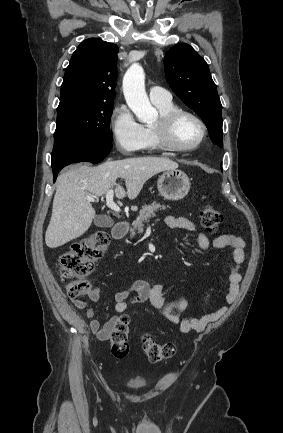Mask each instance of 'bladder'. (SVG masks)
I'll return each mask as SVG.
<instances>
[{"mask_svg": "<svg viewBox=\"0 0 283 433\" xmlns=\"http://www.w3.org/2000/svg\"><path fill=\"white\" fill-rule=\"evenodd\" d=\"M127 386L132 388H140L145 385V383L141 379L130 380L126 383Z\"/></svg>", "mask_w": 283, "mask_h": 433, "instance_id": "31cf9c89", "label": "bladder"}]
</instances>
